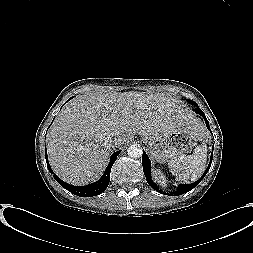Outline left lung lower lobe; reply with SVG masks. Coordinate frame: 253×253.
<instances>
[{
    "instance_id": "left-lung-lower-lobe-1",
    "label": "left lung lower lobe",
    "mask_w": 253,
    "mask_h": 253,
    "mask_svg": "<svg viewBox=\"0 0 253 253\" xmlns=\"http://www.w3.org/2000/svg\"><path fill=\"white\" fill-rule=\"evenodd\" d=\"M191 103L193 105L197 106V108L194 111L197 114H200L204 118L206 126L210 130L209 122L206 119L205 114L203 113V111L200 108H198V105L195 102H191ZM212 157H213V148H212V154H211L210 163H209V165H208L205 173L203 174V176L198 181H196L194 183H191V184H180L178 186V188H177V191L175 193H173L172 196H179L181 194H184V193L192 190L194 187H196L199 184V182L205 177V175L207 174L208 170L210 169L211 162H212ZM142 164H143L144 175L146 177V180H147L148 184L153 189L159 191V187L151 179V163H150V160H149L148 156L146 155V153L144 151H143V155H142Z\"/></svg>"
}]
</instances>
